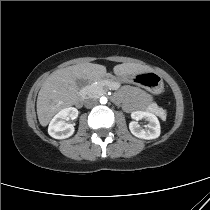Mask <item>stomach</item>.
Masks as SVG:
<instances>
[{"label": "stomach", "instance_id": "0dacf381", "mask_svg": "<svg viewBox=\"0 0 210 210\" xmlns=\"http://www.w3.org/2000/svg\"><path fill=\"white\" fill-rule=\"evenodd\" d=\"M123 78L127 82L144 88L153 94H160L164 88L161 76L153 71L127 75L123 76Z\"/></svg>", "mask_w": 210, "mask_h": 210}]
</instances>
